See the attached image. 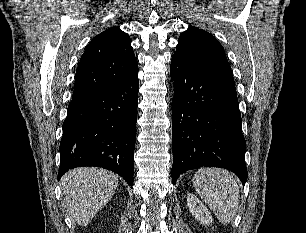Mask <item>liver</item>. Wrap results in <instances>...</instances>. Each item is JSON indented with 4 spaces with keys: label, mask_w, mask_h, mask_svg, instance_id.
<instances>
[{
    "label": "liver",
    "mask_w": 306,
    "mask_h": 233,
    "mask_svg": "<svg viewBox=\"0 0 306 233\" xmlns=\"http://www.w3.org/2000/svg\"><path fill=\"white\" fill-rule=\"evenodd\" d=\"M64 206L81 226H87L109 202L118 185V177L102 168H77L62 178Z\"/></svg>",
    "instance_id": "obj_1"
}]
</instances>
